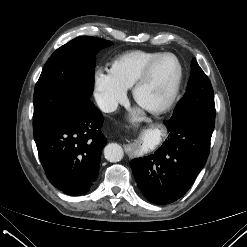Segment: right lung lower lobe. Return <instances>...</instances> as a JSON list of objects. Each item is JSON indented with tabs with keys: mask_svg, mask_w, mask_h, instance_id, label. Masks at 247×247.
<instances>
[{
	"mask_svg": "<svg viewBox=\"0 0 247 247\" xmlns=\"http://www.w3.org/2000/svg\"><path fill=\"white\" fill-rule=\"evenodd\" d=\"M103 116L89 98L74 101L38 129L34 139L49 181L68 195H82L94 184L107 139Z\"/></svg>",
	"mask_w": 247,
	"mask_h": 247,
	"instance_id": "98d812e1",
	"label": "right lung lower lobe"
}]
</instances>
